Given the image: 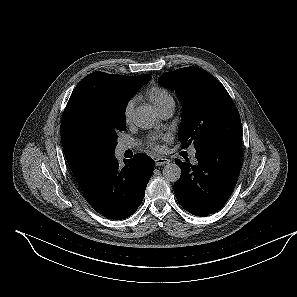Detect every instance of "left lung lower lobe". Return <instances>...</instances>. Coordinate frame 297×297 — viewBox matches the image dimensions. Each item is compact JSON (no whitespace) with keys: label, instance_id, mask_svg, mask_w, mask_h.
Instances as JSON below:
<instances>
[{"label":"left lung lower lobe","instance_id":"1","mask_svg":"<svg viewBox=\"0 0 297 297\" xmlns=\"http://www.w3.org/2000/svg\"><path fill=\"white\" fill-rule=\"evenodd\" d=\"M195 157L197 165L175 161L181 168V177L173 189L185 210L204 217L218 211L234 190L242 162L241 137L196 152Z\"/></svg>","mask_w":297,"mask_h":297}]
</instances>
